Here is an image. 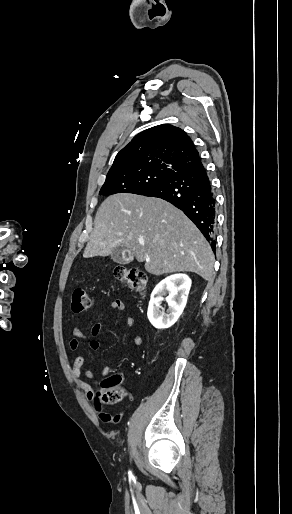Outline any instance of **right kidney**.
<instances>
[{
    "instance_id": "obj_1",
    "label": "right kidney",
    "mask_w": 292,
    "mask_h": 514,
    "mask_svg": "<svg viewBox=\"0 0 292 514\" xmlns=\"http://www.w3.org/2000/svg\"><path fill=\"white\" fill-rule=\"evenodd\" d=\"M191 284L192 282L186 274H173L157 284L151 294L147 312L148 320L154 328L165 330L177 322L186 306ZM166 292L169 294L165 298L169 310H167V314H164L160 308L164 300L162 296H165Z\"/></svg>"
}]
</instances>
